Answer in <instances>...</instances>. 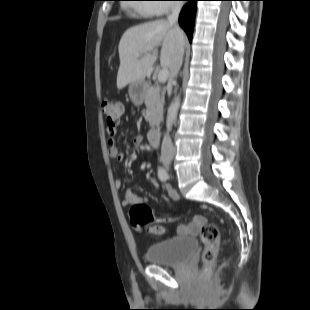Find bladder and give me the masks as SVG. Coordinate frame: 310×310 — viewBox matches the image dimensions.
<instances>
[{
    "mask_svg": "<svg viewBox=\"0 0 310 310\" xmlns=\"http://www.w3.org/2000/svg\"><path fill=\"white\" fill-rule=\"evenodd\" d=\"M198 243L191 237H172L149 246L145 252L149 264L180 266L192 259Z\"/></svg>",
    "mask_w": 310,
    "mask_h": 310,
    "instance_id": "31cf9c89",
    "label": "bladder"
}]
</instances>
